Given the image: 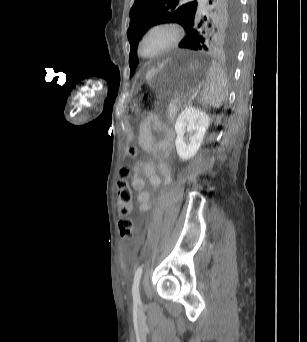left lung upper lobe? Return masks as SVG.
I'll list each match as a JSON object with an SVG mask.
<instances>
[{"label": "left lung upper lobe", "mask_w": 307, "mask_h": 342, "mask_svg": "<svg viewBox=\"0 0 307 342\" xmlns=\"http://www.w3.org/2000/svg\"><path fill=\"white\" fill-rule=\"evenodd\" d=\"M239 0H210L207 16L199 13L196 0H135L127 32L131 73L137 65V45L152 26L176 22L186 30L180 48L223 50L234 54L240 34Z\"/></svg>", "instance_id": "obj_1"}]
</instances>
